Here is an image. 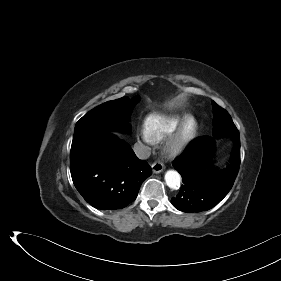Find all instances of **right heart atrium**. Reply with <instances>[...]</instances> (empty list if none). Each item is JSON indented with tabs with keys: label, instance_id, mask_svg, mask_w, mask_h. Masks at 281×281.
<instances>
[{
	"label": "right heart atrium",
	"instance_id": "1",
	"mask_svg": "<svg viewBox=\"0 0 281 281\" xmlns=\"http://www.w3.org/2000/svg\"><path fill=\"white\" fill-rule=\"evenodd\" d=\"M141 136L145 141H149V139L147 138V136L144 132L141 133Z\"/></svg>",
	"mask_w": 281,
	"mask_h": 281
}]
</instances>
